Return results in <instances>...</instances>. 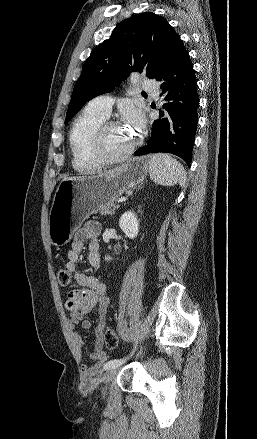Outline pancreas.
<instances>
[{
	"instance_id": "obj_1",
	"label": "pancreas",
	"mask_w": 257,
	"mask_h": 439,
	"mask_svg": "<svg viewBox=\"0 0 257 439\" xmlns=\"http://www.w3.org/2000/svg\"><path fill=\"white\" fill-rule=\"evenodd\" d=\"M119 208V205L115 202V200H111L105 204H102L97 211H99L102 215L114 214L115 211Z\"/></svg>"
}]
</instances>
